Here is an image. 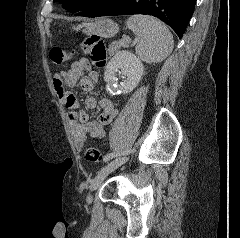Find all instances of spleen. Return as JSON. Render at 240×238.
Masks as SVG:
<instances>
[{
	"label": "spleen",
	"mask_w": 240,
	"mask_h": 238,
	"mask_svg": "<svg viewBox=\"0 0 240 238\" xmlns=\"http://www.w3.org/2000/svg\"><path fill=\"white\" fill-rule=\"evenodd\" d=\"M127 27L139 39L136 53L142 61L158 63L172 52L173 35L160 20L145 15H133L127 20Z\"/></svg>",
	"instance_id": "obj_1"
}]
</instances>
